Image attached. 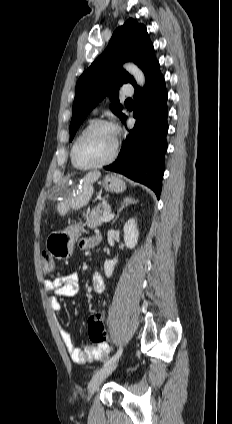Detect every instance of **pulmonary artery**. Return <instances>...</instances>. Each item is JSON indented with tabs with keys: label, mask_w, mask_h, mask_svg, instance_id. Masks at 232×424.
<instances>
[{
	"label": "pulmonary artery",
	"mask_w": 232,
	"mask_h": 424,
	"mask_svg": "<svg viewBox=\"0 0 232 424\" xmlns=\"http://www.w3.org/2000/svg\"><path fill=\"white\" fill-rule=\"evenodd\" d=\"M134 93V89L130 84H126L123 87L122 94L125 96H131Z\"/></svg>",
	"instance_id": "e3ab8cb5"
}]
</instances>
